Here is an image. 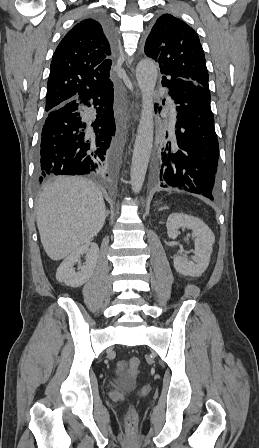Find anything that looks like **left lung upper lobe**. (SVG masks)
I'll return each instance as SVG.
<instances>
[{"instance_id": "1", "label": "left lung upper lobe", "mask_w": 259, "mask_h": 448, "mask_svg": "<svg viewBox=\"0 0 259 448\" xmlns=\"http://www.w3.org/2000/svg\"><path fill=\"white\" fill-rule=\"evenodd\" d=\"M145 54L159 63L160 71L172 80H191L209 89V75L197 33L171 14L154 24L145 43Z\"/></svg>"}]
</instances>
